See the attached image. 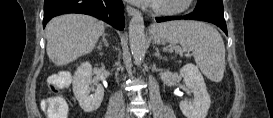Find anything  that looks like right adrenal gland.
I'll use <instances>...</instances> for the list:
<instances>
[{
    "label": "right adrenal gland",
    "mask_w": 273,
    "mask_h": 118,
    "mask_svg": "<svg viewBox=\"0 0 273 118\" xmlns=\"http://www.w3.org/2000/svg\"><path fill=\"white\" fill-rule=\"evenodd\" d=\"M106 36H108V34H107V33H103V35H102V41L99 43L98 49L101 50V48H102V43H104L105 46H107V47L109 46L108 41L106 40Z\"/></svg>",
    "instance_id": "right-adrenal-gland-1"
}]
</instances>
